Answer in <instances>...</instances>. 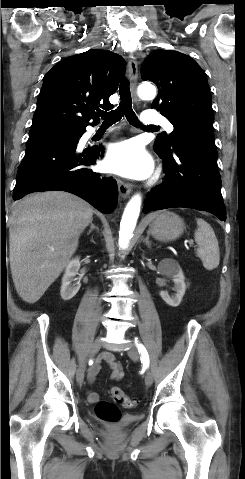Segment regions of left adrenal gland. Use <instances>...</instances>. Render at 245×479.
Here are the masks:
<instances>
[{"label":"left adrenal gland","instance_id":"left-adrenal-gland-1","mask_svg":"<svg viewBox=\"0 0 245 479\" xmlns=\"http://www.w3.org/2000/svg\"><path fill=\"white\" fill-rule=\"evenodd\" d=\"M143 242L146 244L148 248H151V243L149 241V235L146 236V238L143 240Z\"/></svg>","mask_w":245,"mask_h":479}]
</instances>
